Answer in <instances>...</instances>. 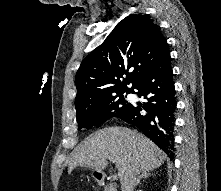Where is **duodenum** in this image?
I'll list each match as a JSON object with an SVG mask.
<instances>
[{"mask_svg": "<svg viewBox=\"0 0 221 191\" xmlns=\"http://www.w3.org/2000/svg\"><path fill=\"white\" fill-rule=\"evenodd\" d=\"M97 180L100 184H105L107 181L106 176L103 174H99L97 177Z\"/></svg>", "mask_w": 221, "mask_h": 191, "instance_id": "1", "label": "duodenum"}]
</instances>
